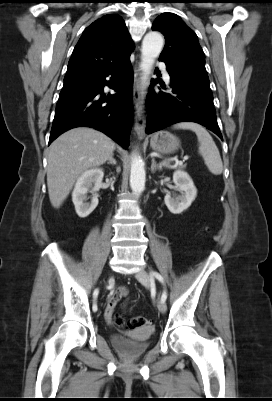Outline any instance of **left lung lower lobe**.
<instances>
[{
	"instance_id": "0a47b994",
	"label": "left lung lower lobe",
	"mask_w": 272,
	"mask_h": 401,
	"mask_svg": "<svg viewBox=\"0 0 272 401\" xmlns=\"http://www.w3.org/2000/svg\"><path fill=\"white\" fill-rule=\"evenodd\" d=\"M165 64L170 75L171 93L157 92L152 86L149 88L145 132L151 134L169 125L189 121L207 127L223 140L216 119L209 78L167 62ZM158 82L157 79L152 80V84ZM161 87L165 86L161 84Z\"/></svg>"
}]
</instances>
